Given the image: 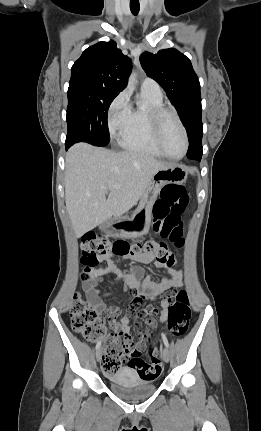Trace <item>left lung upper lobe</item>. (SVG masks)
<instances>
[{
	"label": "left lung upper lobe",
	"mask_w": 261,
	"mask_h": 431,
	"mask_svg": "<svg viewBox=\"0 0 261 431\" xmlns=\"http://www.w3.org/2000/svg\"><path fill=\"white\" fill-rule=\"evenodd\" d=\"M140 62L146 74L164 88L178 111L189 139L187 157L200 161L203 135L200 83L190 60L170 48L157 54L144 52Z\"/></svg>",
	"instance_id": "obj_1"
}]
</instances>
